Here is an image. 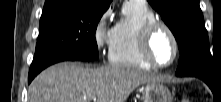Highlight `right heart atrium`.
<instances>
[{"label":"right heart atrium","instance_id":"obj_1","mask_svg":"<svg viewBox=\"0 0 221 102\" xmlns=\"http://www.w3.org/2000/svg\"><path fill=\"white\" fill-rule=\"evenodd\" d=\"M110 15L111 10H105L94 26L93 30V39L96 48L100 52H105L110 48L112 34H113V27L110 25Z\"/></svg>","mask_w":221,"mask_h":102}]
</instances>
